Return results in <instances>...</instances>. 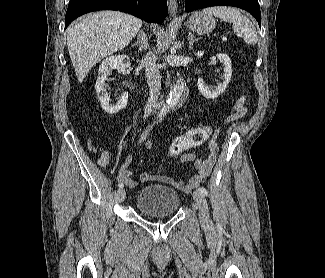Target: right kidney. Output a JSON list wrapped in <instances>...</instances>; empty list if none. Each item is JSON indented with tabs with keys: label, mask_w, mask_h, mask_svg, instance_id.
<instances>
[{
	"label": "right kidney",
	"mask_w": 325,
	"mask_h": 278,
	"mask_svg": "<svg viewBox=\"0 0 325 278\" xmlns=\"http://www.w3.org/2000/svg\"><path fill=\"white\" fill-rule=\"evenodd\" d=\"M130 59L127 55H115L107 57L99 67V75L95 84L96 93L98 95L102 109L113 115L124 109L128 102V92L121 95L116 104H111L107 91L105 89V81L107 75L112 69H124L130 67Z\"/></svg>",
	"instance_id": "obj_1"
}]
</instances>
